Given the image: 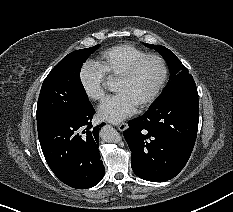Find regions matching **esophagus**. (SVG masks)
<instances>
[{
  "label": "esophagus",
  "instance_id": "obj_1",
  "mask_svg": "<svg viewBox=\"0 0 233 212\" xmlns=\"http://www.w3.org/2000/svg\"><path fill=\"white\" fill-rule=\"evenodd\" d=\"M117 128H118L120 131H124V130H126V129L128 128V125H127V123L122 122V123H120V124L117 125Z\"/></svg>",
  "mask_w": 233,
  "mask_h": 212
}]
</instances>
